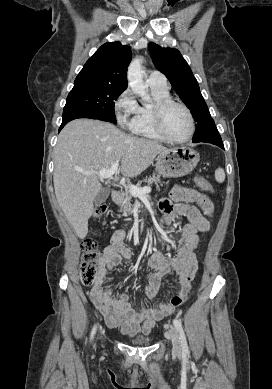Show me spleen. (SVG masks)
<instances>
[{"instance_id": "3e777b00", "label": "spleen", "mask_w": 272, "mask_h": 389, "mask_svg": "<svg viewBox=\"0 0 272 389\" xmlns=\"http://www.w3.org/2000/svg\"><path fill=\"white\" fill-rule=\"evenodd\" d=\"M215 179L218 183H223L225 180V172L222 168L215 170Z\"/></svg>"}]
</instances>
